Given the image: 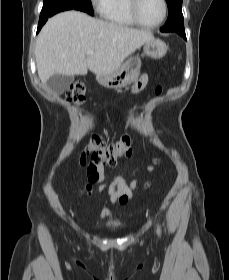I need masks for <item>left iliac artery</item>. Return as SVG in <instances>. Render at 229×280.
Returning a JSON list of instances; mask_svg holds the SVG:
<instances>
[{"instance_id": "obj_1", "label": "left iliac artery", "mask_w": 229, "mask_h": 280, "mask_svg": "<svg viewBox=\"0 0 229 280\" xmlns=\"http://www.w3.org/2000/svg\"><path fill=\"white\" fill-rule=\"evenodd\" d=\"M158 233L160 234V228H159V226H158Z\"/></svg>"}]
</instances>
